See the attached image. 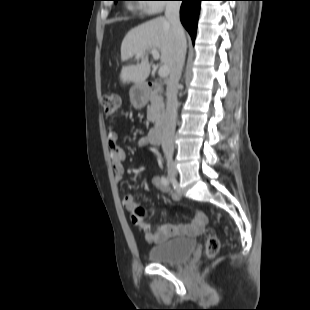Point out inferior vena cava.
Segmentation results:
<instances>
[{
  "instance_id": "1",
  "label": "inferior vena cava",
  "mask_w": 310,
  "mask_h": 310,
  "mask_svg": "<svg viewBox=\"0 0 310 310\" xmlns=\"http://www.w3.org/2000/svg\"><path fill=\"white\" fill-rule=\"evenodd\" d=\"M181 2L168 1L165 16L170 22L174 33V54L170 70V78L166 91V113L162 125L161 145L166 156H172L174 152V134L177 121V87L181 77L186 54V38L179 18Z\"/></svg>"
}]
</instances>
